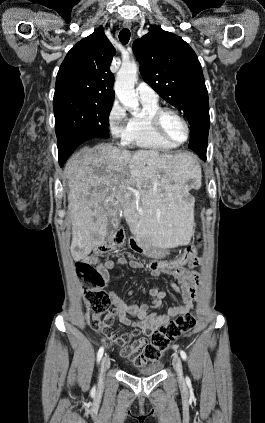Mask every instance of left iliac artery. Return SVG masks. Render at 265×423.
I'll return each instance as SVG.
<instances>
[{
  "label": "left iliac artery",
  "mask_w": 265,
  "mask_h": 423,
  "mask_svg": "<svg viewBox=\"0 0 265 423\" xmlns=\"http://www.w3.org/2000/svg\"><path fill=\"white\" fill-rule=\"evenodd\" d=\"M180 355H181V357H182L183 360H186L187 355H186L185 351L180 350Z\"/></svg>",
  "instance_id": "44dca946"
}]
</instances>
